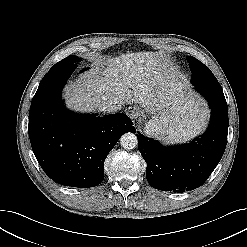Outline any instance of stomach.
<instances>
[{
  "mask_svg": "<svg viewBox=\"0 0 247 247\" xmlns=\"http://www.w3.org/2000/svg\"><path fill=\"white\" fill-rule=\"evenodd\" d=\"M178 100L165 106L152 115V118L146 124V133L155 136H166L169 140H181L191 136L199 130L206 120V112L202 103L195 101L193 97H187L182 92L177 93ZM192 102L197 105V113L191 116L190 113L183 110L185 104ZM197 120L202 125L196 128L191 121Z\"/></svg>",
  "mask_w": 247,
  "mask_h": 247,
  "instance_id": "1",
  "label": "stomach"
}]
</instances>
